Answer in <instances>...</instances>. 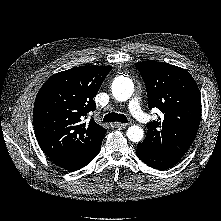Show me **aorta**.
Wrapping results in <instances>:
<instances>
[{
  "instance_id": "1",
  "label": "aorta",
  "mask_w": 221,
  "mask_h": 221,
  "mask_svg": "<svg viewBox=\"0 0 221 221\" xmlns=\"http://www.w3.org/2000/svg\"><path fill=\"white\" fill-rule=\"evenodd\" d=\"M134 91V84L127 77L119 78L112 84V94L118 101L128 100ZM144 131L139 126H131L127 129V137L132 142H140L143 139Z\"/></svg>"
}]
</instances>
